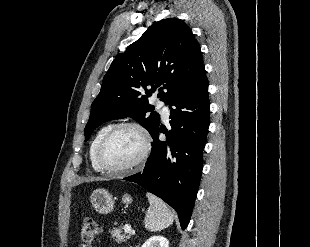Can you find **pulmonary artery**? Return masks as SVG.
<instances>
[{
    "label": "pulmonary artery",
    "instance_id": "e3ab8cb5",
    "mask_svg": "<svg viewBox=\"0 0 310 247\" xmlns=\"http://www.w3.org/2000/svg\"><path fill=\"white\" fill-rule=\"evenodd\" d=\"M158 107L161 108L163 119L167 121L170 115L169 104L162 100L158 102Z\"/></svg>",
    "mask_w": 310,
    "mask_h": 247
}]
</instances>
